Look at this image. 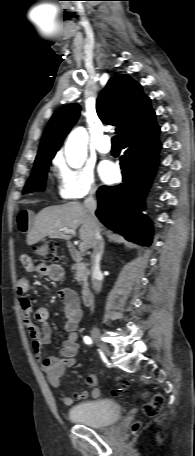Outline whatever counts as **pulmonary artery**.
I'll return each instance as SVG.
<instances>
[{
    "mask_svg": "<svg viewBox=\"0 0 195 456\" xmlns=\"http://www.w3.org/2000/svg\"><path fill=\"white\" fill-rule=\"evenodd\" d=\"M97 150L101 154H108L111 151V143H110V137L108 135H104L100 138Z\"/></svg>",
    "mask_w": 195,
    "mask_h": 456,
    "instance_id": "obj_1",
    "label": "pulmonary artery"
}]
</instances>
